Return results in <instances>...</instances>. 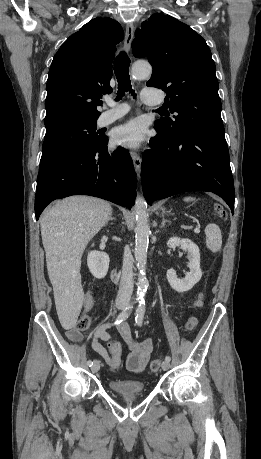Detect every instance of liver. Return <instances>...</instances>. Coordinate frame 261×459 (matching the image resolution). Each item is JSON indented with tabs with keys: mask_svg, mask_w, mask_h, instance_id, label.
Listing matches in <instances>:
<instances>
[{
	"mask_svg": "<svg viewBox=\"0 0 261 459\" xmlns=\"http://www.w3.org/2000/svg\"><path fill=\"white\" fill-rule=\"evenodd\" d=\"M111 205L91 196H70L48 208L40 220L49 279L57 314L72 329L83 304L81 258L91 239L105 226Z\"/></svg>",
	"mask_w": 261,
	"mask_h": 459,
	"instance_id": "6515ba94",
	"label": "liver"
}]
</instances>
